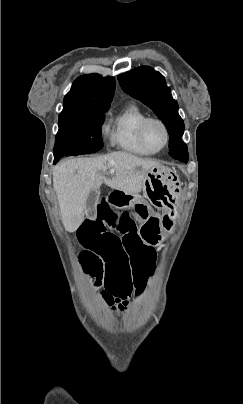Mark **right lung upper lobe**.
I'll list each match as a JSON object with an SVG mask.
<instances>
[{"instance_id": "1", "label": "right lung upper lobe", "mask_w": 243, "mask_h": 404, "mask_svg": "<svg viewBox=\"0 0 243 404\" xmlns=\"http://www.w3.org/2000/svg\"><path fill=\"white\" fill-rule=\"evenodd\" d=\"M115 90V79L99 74L79 76L64 97L63 111L99 110L110 107Z\"/></svg>"}]
</instances>
